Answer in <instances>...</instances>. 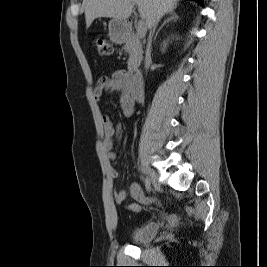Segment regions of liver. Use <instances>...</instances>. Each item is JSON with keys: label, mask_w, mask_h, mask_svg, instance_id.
Returning a JSON list of instances; mask_svg holds the SVG:
<instances>
[{"label": "liver", "mask_w": 267, "mask_h": 267, "mask_svg": "<svg viewBox=\"0 0 267 267\" xmlns=\"http://www.w3.org/2000/svg\"><path fill=\"white\" fill-rule=\"evenodd\" d=\"M178 0H83L86 27H90L96 18L106 17L126 20L132 14L135 5L146 26L151 28L156 17H162L177 6Z\"/></svg>", "instance_id": "1"}]
</instances>
